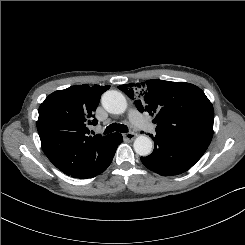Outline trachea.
<instances>
[{"label": "trachea", "instance_id": "1", "mask_svg": "<svg viewBox=\"0 0 245 245\" xmlns=\"http://www.w3.org/2000/svg\"><path fill=\"white\" fill-rule=\"evenodd\" d=\"M114 131H117V132H128V128L126 125L124 124H117V123H113L111 125H109L105 131H104V134H108V133H112Z\"/></svg>", "mask_w": 245, "mask_h": 245}]
</instances>
